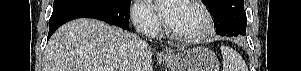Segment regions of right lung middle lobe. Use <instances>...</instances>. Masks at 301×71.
Wrapping results in <instances>:
<instances>
[{"label":"right lung middle lobe","mask_w":301,"mask_h":71,"mask_svg":"<svg viewBox=\"0 0 301 71\" xmlns=\"http://www.w3.org/2000/svg\"><path fill=\"white\" fill-rule=\"evenodd\" d=\"M74 2L97 3L106 6H115L119 8H126L130 5V0H54L53 8H57Z\"/></svg>","instance_id":"1"}]
</instances>
